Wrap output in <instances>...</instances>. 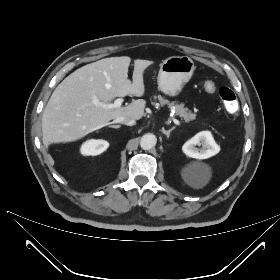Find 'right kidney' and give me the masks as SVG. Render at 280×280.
<instances>
[{
  "instance_id": "1",
  "label": "right kidney",
  "mask_w": 280,
  "mask_h": 280,
  "mask_svg": "<svg viewBox=\"0 0 280 280\" xmlns=\"http://www.w3.org/2000/svg\"><path fill=\"white\" fill-rule=\"evenodd\" d=\"M108 147L109 143L105 140L91 139L82 144L80 151L82 155L95 156L103 153Z\"/></svg>"
}]
</instances>
